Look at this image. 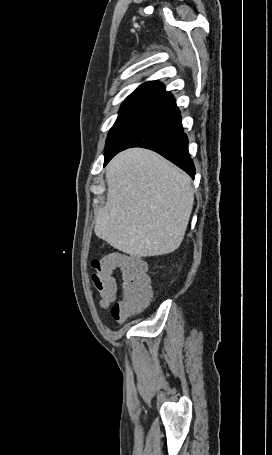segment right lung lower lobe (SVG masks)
<instances>
[{"label": "right lung lower lobe", "instance_id": "1", "mask_svg": "<svg viewBox=\"0 0 272 455\" xmlns=\"http://www.w3.org/2000/svg\"><path fill=\"white\" fill-rule=\"evenodd\" d=\"M187 145L180 110L174 101L126 133L105 153L104 165L126 148L144 147L161 154L194 178L195 167Z\"/></svg>", "mask_w": 272, "mask_h": 455}]
</instances>
